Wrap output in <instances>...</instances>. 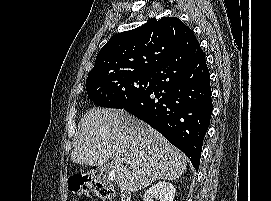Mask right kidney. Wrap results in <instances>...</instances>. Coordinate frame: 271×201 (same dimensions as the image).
<instances>
[{
  "instance_id": "ca27d5eb",
  "label": "right kidney",
  "mask_w": 271,
  "mask_h": 201,
  "mask_svg": "<svg viewBox=\"0 0 271 201\" xmlns=\"http://www.w3.org/2000/svg\"><path fill=\"white\" fill-rule=\"evenodd\" d=\"M175 197V188L169 182H158L151 186L144 194L143 201H173Z\"/></svg>"
}]
</instances>
